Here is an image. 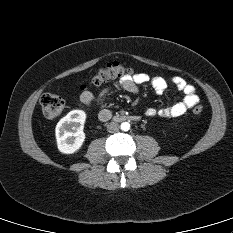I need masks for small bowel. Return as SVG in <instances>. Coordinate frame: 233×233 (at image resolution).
I'll use <instances>...</instances> for the list:
<instances>
[{
    "label": "small bowel",
    "instance_id": "1",
    "mask_svg": "<svg viewBox=\"0 0 233 233\" xmlns=\"http://www.w3.org/2000/svg\"><path fill=\"white\" fill-rule=\"evenodd\" d=\"M149 83L157 94H162L169 84H173L179 93L184 95L182 101L174 103L170 106L154 109L148 108L146 115L155 116L158 115L162 118H175L185 114L189 109L199 102V96L193 85L187 83V81L180 76H172L169 78L155 76L150 77L146 73H136L134 75H126L120 79L114 88H122L130 93L137 94L139 92V86ZM112 90V87L104 88L98 95L99 100H103L105 96ZM94 96L90 91H83L78 99L77 103L82 108H90L93 103ZM112 111L110 109H103L99 113V117L103 120V117H111Z\"/></svg>",
    "mask_w": 233,
    "mask_h": 233
}]
</instances>
